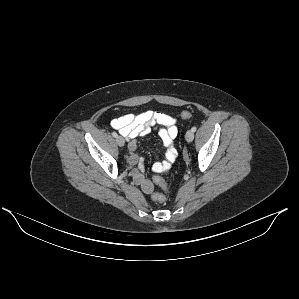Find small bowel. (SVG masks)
I'll return each instance as SVG.
<instances>
[{
    "instance_id": "obj_1",
    "label": "small bowel",
    "mask_w": 299,
    "mask_h": 299,
    "mask_svg": "<svg viewBox=\"0 0 299 299\" xmlns=\"http://www.w3.org/2000/svg\"><path fill=\"white\" fill-rule=\"evenodd\" d=\"M111 127L118 130L121 135L128 140L129 164L135 166L138 164L137 169L133 171V178L137 184L142 187V190L146 194L153 192V182L144 177V161L139 159L136 154V137L144 136L148 134L156 125H161L158 135L163 145L166 147L164 157L157 160L152 165V170L156 173H167L172 163L177 158V150L175 148V138L178 130L176 126V119L170 115L154 112L144 111L139 114H127L121 117L115 118L111 121ZM154 177L153 181L156 183ZM160 178V177H159Z\"/></svg>"
}]
</instances>
